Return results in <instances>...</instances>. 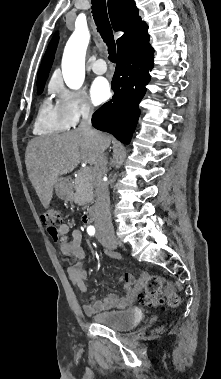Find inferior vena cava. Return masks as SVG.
<instances>
[{"instance_id":"602c4592","label":"inferior vena cava","mask_w":221,"mask_h":379,"mask_svg":"<svg viewBox=\"0 0 221 379\" xmlns=\"http://www.w3.org/2000/svg\"><path fill=\"white\" fill-rule=\"evenodd\" d=\"M91 116V107L90 105H86L82 111V120L79 124L78 130L90 134L97 133V131L92 129ZM107 171V157L104 152H101L93 169V181L99 206L95 225L97 229L113 230L108 183L104 181V176L107 174Z\"/></svg>"}]
</instances>
